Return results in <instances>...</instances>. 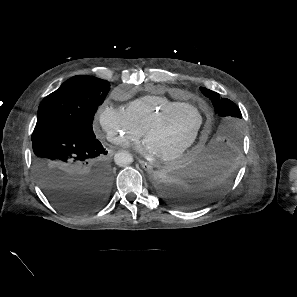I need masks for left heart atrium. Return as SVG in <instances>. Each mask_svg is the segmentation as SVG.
<instances>
[{
  "label": "left heart atrium",
  "mask_w": 297,
  "mask_h": 297,
  "mask_svg": "<svg viewBox=\"0 0 297 297\" xmlns=\"http://www.w3.org/2000/svg\"><path fill=\"white\" fill-rule=\"evenodd\" d=\"M141 150L144 151L145 153L149 154V155H155L154 150L152 149V147L150 146V144L147 141L144 142Z\"/></svg>",
  "instance_id": "obj_1"
}]
</instances>
